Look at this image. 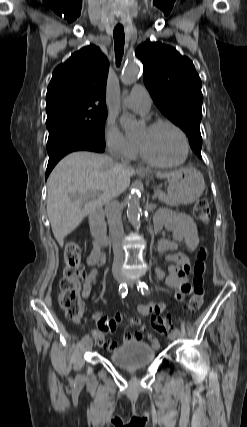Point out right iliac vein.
<instances>
[{
	"label": "right iliac vein",
	"instance_id": "right-iliac-vein-1",
	"mask_svg": "<svg viewBox=\"0 0 247 427\" xmlns=\"http://www.w3.org/2000/svg\"><path fill=\"white\" fill-rule=\"evenodd\" d=\"M116 280L118 283H122V278L121 277H116ZM93 346V340L91 338H89V340L86 342L85 347L87 351H90L92 349Z\"/></svg>",
	"mask_w": 247,
	"mask_h": 427
}]
</instances>
